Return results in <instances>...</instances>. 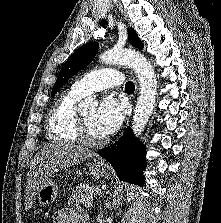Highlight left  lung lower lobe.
<instances>
[{"label":"left lung lower lobe","instance_id":"left-lung-lower-lobe-1","mask_svg":"<svg viewBox=\"0 0 221 223\" xmlns=\"http://www.w3.org/2000/svg\"><path fill=\"white\" fill-rule=\"evenodd\" d=\"M113 166L120 180L144 185L145 147L127 128L113 145L98 151Z\"/></svg>","mask_w":221,"mask_h":223}]
</instances>
